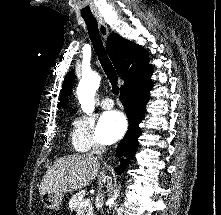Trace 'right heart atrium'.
Instances as JSON below:
<instances>
[{
	"label": "right heart atrium",
	"mask_w": 221,
	"mask_h": 215,
	"mask_svg": "<svg viewBox=\"0 0 221 215\" xmlns=\"http://www.w3.org/2000/svg\"><path fill=\"white\" fill-rule=\"evenodd\" d=\"M71 141L74 149L79 152H87L104 143L92 116L80 114L73 120Z\"/></svg>",
	"instance_id": "1"
}]
</instances>
